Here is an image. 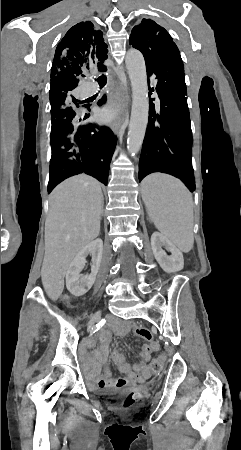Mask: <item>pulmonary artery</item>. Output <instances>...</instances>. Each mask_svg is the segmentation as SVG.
I'll return each instance as SVG.
<instances>
[{"label": "pulmonary artery", "mask_w": 241, "mask_h": 450, "mask_svg": "<svg viewBox=\"0 0 241 450\" xmlns=\"http://www.w3.org/2000/svg\"><path fill=\"white\" fill-rule=\"evenodd\" d=\"M149 77H150V78H153V77H154V74H153V73H150V74H149Z\"/></svg>", "instance_id": "e3ab8cb5"}]
</instances>
